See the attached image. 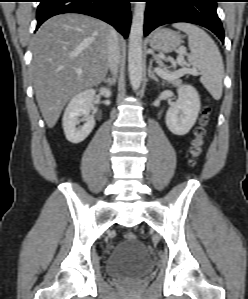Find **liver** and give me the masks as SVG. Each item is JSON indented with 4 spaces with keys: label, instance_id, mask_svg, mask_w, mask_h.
<instances>
[{
    "label": "liver",
    "instance_id": "obj_1",
    "mask_svg": "<svg viewBox=\"0 0 248 299\" xmlns=\"http://www.w3.org/2000/svg\"><path fill=\"white\" fill-rule=\"evenodd\" d=\"M111 29L98 19L70 13L48 19L37 31L31 72L36 100L49 128L72 96L104 80Z\"/></svg>",
    "mask_w": 248,
    "mask_h": 299
}]
</instances>
